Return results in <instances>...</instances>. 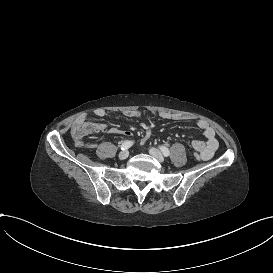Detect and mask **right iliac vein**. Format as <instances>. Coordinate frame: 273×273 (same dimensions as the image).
Wrapping results in <instances>:
<instances>
[{
  "instance_id": "63e3f726",
  "label": "right iliac vein",
  "mask_w": 273,
  "mask_h": 273,
  "mask_svg": "<svg viewBox=\"0 0 273 273\" xmlns=\"http://www.w3.org/2000/svg\"><path fill=\"white\" fill-rule=\"evenodd\" d=\"M129 156V152L127 150L121 151L119 153V159L125 160Z\"/></svg>"
}]
</instances>
